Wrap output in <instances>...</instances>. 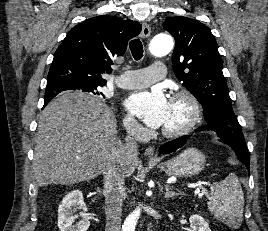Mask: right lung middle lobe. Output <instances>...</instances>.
<instances>
[{
    "mask_svg": "<svg viewBox=\"0 0 268 231\" xmlns=\"http://www.w3.org/2000/svg\"><path fill=\"white\" fill-rule=\"evenodd\" d=\"M99 87L95 86H89V87H72V86H55V87H50L46 88V96L51 95L55 97L59 92L64 91V90H80L83 92H89L92 94H102L101 92L98 91Z\"/></svg>",
    "mask_w": 268,
    "mask_h": 231,
    "instance_id": "right-lung-middle-lobe-1",
    "label": "right lung middle lobe"
}]
</instances>
